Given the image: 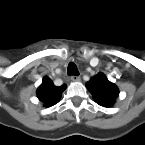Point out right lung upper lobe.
Segmentation results:
<instances>
[{
	"instance_id": "obj_1",
	"label": "right lung upper lobe",
	"mask_w": 145,
	"mask_h": 145,
	"mask_svg": "<svg viewBox=\"0 0 145 145\" xmlns=\"http://www.w3.org/2000/svg\"><path fill=\"white\" fill-rule=\"evenodd\" d=\"M65 89V84L56 87L50 78L44 77L42 84L37 90V96L39 100L44 103L45 107H50L59 101L61 94Z\"/></svg>"
}]
</instances>
